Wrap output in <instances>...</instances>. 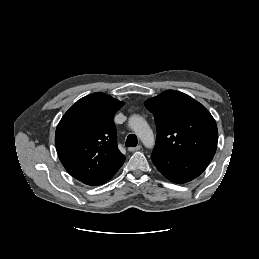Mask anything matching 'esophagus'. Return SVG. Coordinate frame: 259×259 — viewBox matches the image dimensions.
I'll use <instances>...</instances> for the list:
<instances>
[{
    "instance_id": "obj_1",
    "label": "esophagus",
    "mask_w": 259,
    "mask_h": 259,
    "mask_svg": "<svg viewBox=\"0 0 259 259\" xmlns=\"http://www.w3.org/2000/svg\"><path fill=\"white\" fill-rule=\"evenodd\" d=\"M142 146L141 145H138L136 147H130L129 148V151L130 152H135V151H138V150H141Z\"/></svg>"
}]
</instances>
